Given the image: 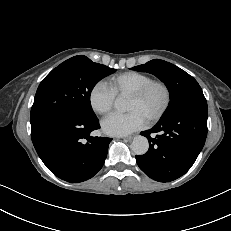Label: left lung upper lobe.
I'll use <instances>...</instances> for the list:
<instances>
[{
	"label": "left lung upper lobe",
	"mask_w": 231,
	"mask_h": 231,
	"mask_svg": "<svg viewBox=\"0 0 231 231\" xmlns=\"http://www.w3.org/2000/svg\"><path fill=\"white\" fill-rule=\"evenodd\" d=\"M132 69L151 73L167 86L170 103L162 118L172 114L177 108L190 101L205 99L197 81L184 70L169 62L154 59Z\"/></svg>",
	"instance_id": "1"
}]
</instances>
